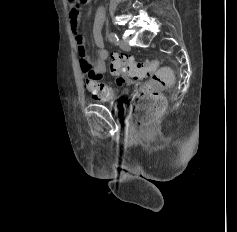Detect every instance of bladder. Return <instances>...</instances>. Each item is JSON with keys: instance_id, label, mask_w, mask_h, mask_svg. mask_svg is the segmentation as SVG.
Instances as JSON below:
<instances>
[{"instance_id": "1", "label": "bladder", "mask_w": 237, "mask_h": 232, "mask_svg": "<svg viewBox=\"0 0 237 232\" xmlns=\"http://www.w3.org/2000/svg\"><path fill=\"white\" fill-rule=\"evenodd\" d=\"M110 104L116 109V110H122L123 109V105L120 101L117 100H113L110 102Z\"/></svg>"}]
</instances>
